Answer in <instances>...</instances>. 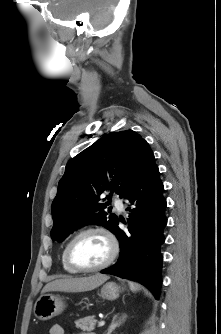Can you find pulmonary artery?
<instances>
[{"label": "pulmonary artery", "instance_id": "pulmonary-artery-1", "mask_svg": "<svg viewBox=\"0 0 221 334\" xmlns=\"http://www.w3.org/2000/svg\"><path fill=\"white\" fill-rule=\"evenodd\" d=\"M114 205L118 211H123L124 203L121 199L119 198L114 199Z\"/></svg>", "mask_w": 221, "mask_h": 334}]
</instances>
